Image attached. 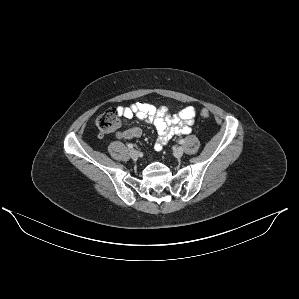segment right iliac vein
<instances>
[{"mask_svg": "<svg viewBox=\"0 0 299 299\" xmlns=\"http://www.w3.org/2000/svg\"><path fill=\"white\" fill-rule=\"evenodd\" d=\"M129 155L132 159H137L139 157L138 151L134 149L130 150Z\"/></svg>", "mask_w": 299, "mask_h": 299, "instance_id": "right-iliac-vein-1", "label": "right iliac vein"}]
</instances>
